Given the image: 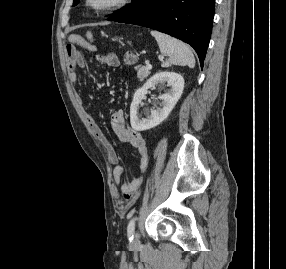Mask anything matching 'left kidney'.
I'll return each instance as SVG.
<instances>
[{
  "mask_svg": "<svg viewBox=\"0 0 286 269\" xmlns=\"http://www.w3.org/2000/svg\"><path fill=\"white\" fill-rule=\"evenodd\" d=\"M158 83H167L170 89L167 93L160 95L158 98L162 101L161 107L151 110V113L147 115L146 119H140L138 117V110L141 101L145 98L148 90L155 87ZM184 89L183 77L174 72H159L153 75L140 89H138L133 97V101L130 106V122L131 126L136 131H145L151 129L161 122H163L178 100L180 99Z\"/></svg>",
  "mask_w": 286,
  "mask_h": 269,
  "instance_id": "left-kidney-1",
  "label": "left kidney"
}]
</instances>
